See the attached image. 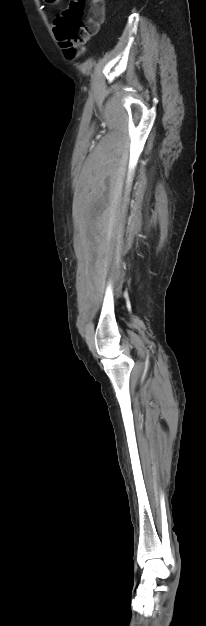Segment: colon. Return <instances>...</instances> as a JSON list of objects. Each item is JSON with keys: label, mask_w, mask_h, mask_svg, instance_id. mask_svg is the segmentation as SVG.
Listing matches in <instances>:
<instances>
[{"label": "colon", "mask_w": 206, "mask_h": 626, "mask_svg": "<svg viewBox=\"0 0 206 626\" xmlns=\"http://www.w3.org/2000/svg\"><path fill=\"white\" fill-rule=\"evenodd\" d=\"M47 1L56 3L58 0ZM103 19V0H70L54 19V32L65 55L77 57L89 37L98 31Z\"/></svg>", "instance_id": "5ec220e1"}]
</instances>
